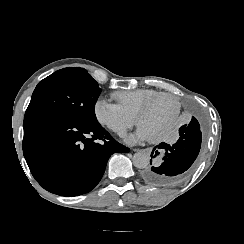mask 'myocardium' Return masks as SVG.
I'll return each mask as SVG.
<instances>
[{
	"mask_svg": "<svg viewBox=\"0 0 244 244\" xmlns=\"http://www.w3.org/2000/svg\"><path fill=\"white\" fill-rule=\"evenodd\" d=\"M161 100H171L175 104L174 111H170L169 112V117L164 120V122L166 124V127L171 125L174 122V120L176 118V115H177V113L179 111L180 103H179V100H178V98L176 96H174L172 94H166V93L165 94H161L160 97H156L154 99V101H152L150 104H147L146 106L143 107V109L136 116L137 123L140 124L141 123V117L146 115L148 113V110L153 108L156 105V103H159Z\"/></svg>",
	"mask_w": 244,
	"mask_h": 244,
	"instance_id": "myocardium-1",
	"label": "myocardium"
}]
</instances>
